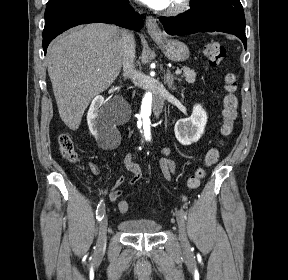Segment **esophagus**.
I'll return each mask as SVG.
<instances>
[{
  "instance_id": "1",
  "label": "esophagus",
  "mask_w": 288,
  "mask_h": 280,
  "mask_svg": "<svg viewBox=\"0 0 288 280\" xmlns=\"http://www.w3.org/2000/svg\"><path fill=\"white\" fill-rule=\"evenodd\" d=\"M146 28L151 38L158 39L163 36L157 20L153 16L146 17Z\"/></svg>"
}]
</instances>
